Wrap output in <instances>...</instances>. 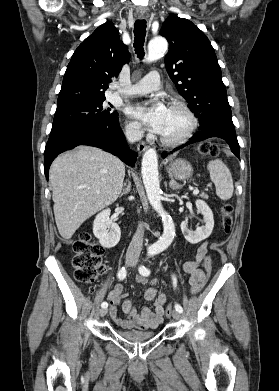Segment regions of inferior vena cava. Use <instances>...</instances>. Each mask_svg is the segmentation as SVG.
<instances>
[{
	"label": "inferior vena cava",
	"mask_w": 279,
	"mask_h": 391,
	"mask_svg": "<svg viewBox=\"0 0 279 391\" xmlns=\"http://www.w3.org/2000/svg\"><path fill=\"white\" fill-rule=\"evenodd\" d=\"M126 138L129 143L137 142L142 137V132L136 126L129 127L126 130ZM144 230L143 225L139 224L138 229L128 247L127 254L139 255L143 245Z\"/></svg>",
	"instance_id": "inferior-vena-cava-1"
}]
</instances>
